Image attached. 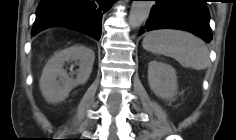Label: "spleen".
Instances as JSON below:
<instances>
[{"mask_svg":"<svg viewBox=\"0 0 236 140\" xmlns=\"http://www.w3.org/2000/svg\"><path fill=\"white\" fill-rule=\"evenodd\" d=\"M142 46L151 53L174 58L185 68L201 70L210 65L209 50L205 43L185 31H151L144 37Z\"/></svg>","mask_w":236,"mask_h":140,"instance_id":"1","label":"spleen"}]
</instances>
